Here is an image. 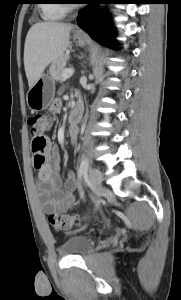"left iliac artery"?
<instances>
[{
	"label": "left iliac artery",
	"instance_id": "obj_1",
	"mask_svg": "<svg viewBox=\"0 0 181 300\" xmlns=\"http://www.w3.org/2000/svg\"><path fill=\"white\" fill-rule=\"evenodd\" d=\"M88 159L86 157H84L81 161V164H80V167H79V170H78V189H79V192H80V195L81 197L83 198L84 197V193L82 191V187H81V183H80V180H81V177L83 174H85L88 170Z\"/></svg>",
	"mask_w": 181,
	"mask_h": 300
}]
</instances>
